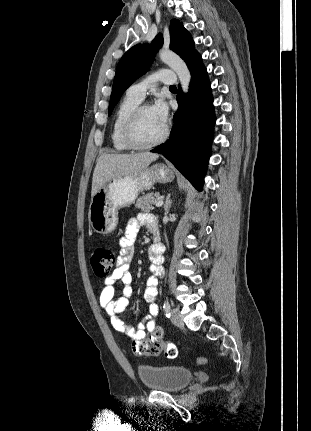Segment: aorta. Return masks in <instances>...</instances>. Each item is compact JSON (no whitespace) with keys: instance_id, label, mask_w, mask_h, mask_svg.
Wrapping results in <instances>:
<instances>
[{"instance_id":"obj_1","label":"aorta","mask_w":311,"mask_h":431,"mask_svg":"<svg viewBox=\"0 0 311 431\" xmlns=\"http://www.w3.org/2000/svg\"><path fill=\"white\" fill-rule=\"evenodd\" d=\"M159 58L161 62H164V64H167L171 70L176 72L183 92H188L191 76L185 62H183L177 54L170 52V50H160Z\"/></svg>"}]
</instances>
